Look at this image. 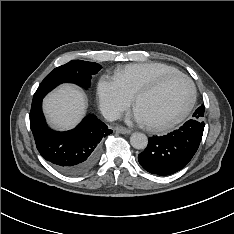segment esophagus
<instances>
[{
    "mask_svg": "<svg viewBox=\"0 0 234 234\" xmlns=\"http://www.w3.org/2000/svg\"><path fill=\"white\" fill-rule=\"evenodd\" d=\"M115 130H116L117 132H119V133H122V134H130V133H131V130H130V129H127V128L123 127V126H117V127L115 128Z\"/></svg>",
    "mask_w": 234,
    "mask_h": 234,
    "instance_id": "34e87169",
    "label": "esophagus"
}]
</instances>
